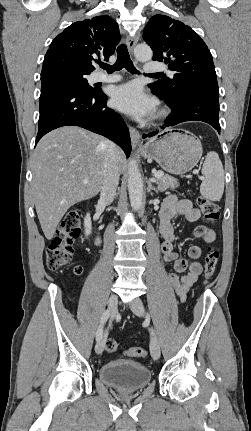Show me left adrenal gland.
I'll return each instance as SVG.
<instances>
[{"mask_svg":"<svg viewBox=\"0 0 251 431\" xmlns=\"http://www.w3.org/2000/svg\"><path fill=\"white\" fill-rule=\"evenodd\" d=\"M148 183V191L153 190L154 192L158 193L157 189L152 185L151 181H147Z\"/></svg>","mask_w":251,"mask_h":431,"instance_id":"1","label":"left adrenal gland"}]
</instances>
